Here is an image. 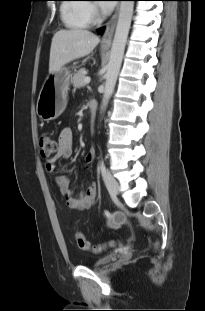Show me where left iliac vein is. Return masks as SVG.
Returning a JSON list of instances; mask_svg holds the SVG:
<instances>
[{"label":"left iliac vein","mask_w":205,"mask_h":311,"mask_svg":"<svg viewBox=\"0 0 205 311\" xmlns=\"http://www.w3.org/2000/svg\"><path fill=\"white\" fill-rule=\"evenodd\" d=\"M105 185L112 196H116L118 194V183L117 181L107 172L105 177H104Z\"/></svg>","instance_id":"4c4485c4"}]
</instances>
